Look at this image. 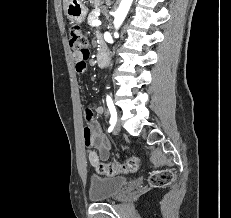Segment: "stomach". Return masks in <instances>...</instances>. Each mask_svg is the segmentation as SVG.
I'll use <instances>...</instances> for the list:
<instances>
[{"label":"stomach","mask_w":231,"mask_h":218,"mask_svg":"<svg viewBox=\"0 0 231 218\" xmlns=\"http://www.w3.org/2000/svg\"><path fill=\"white\" fill-rule=\"evenodd\" d=\"M95 6L100 5V0H91ZM67 18L75 23H82L88 13L84 0H70L66 9Z\"/></svg>","instance_id":"obj_1"}]
</instances>
